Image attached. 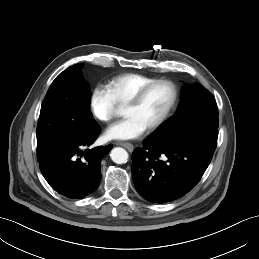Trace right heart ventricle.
<instances>
[{
	"label": "right heart ventricle",
	"mask_w": 259,
	"mask_h": 259,
	"mask_svg": "<svg viewBox=\"0 0 259 259\" xmlns=\"http://www.w3.org/2000/svg\"><path fill=\"white\" fill-rule=\"evenodd\" d=\"M156 80L138 73H127L110 80L107 89L117 105H124L139 89Z\"/></svg>",
	"instance_id": "obj_1"
}]
</instances>
